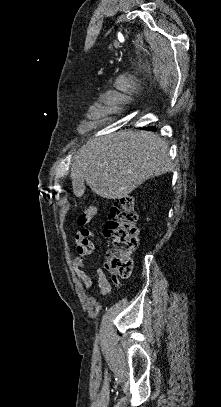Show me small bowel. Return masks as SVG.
Masks as SVG:
<instances>
[{"instance_id": "obj_1", "label": "small bowel", "mask_w": 221, "mask_h": 407, "mask_svg": "<svg viewBox=\"0 0 221 407\" xmlns=\"http://www.w3.org/2000/svg\"><path fill=\"white\" fill-rule=\"evenodd\" d=\"M95 238L96 236L93 233L87 238H76L77 252L79 255L72 260L71 264L77 279L87 290L92 288L93 282L91 276L87 273L86 262L95 249ZM104 268H108L107 265H105ZM92 274L97 278L101 296H108L111 285L105 271L102 268H97ZM112 281L118 288L121 286L120 280L116 276L112 277Z\"/></svg>"}]
</instances>
